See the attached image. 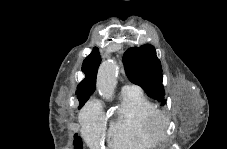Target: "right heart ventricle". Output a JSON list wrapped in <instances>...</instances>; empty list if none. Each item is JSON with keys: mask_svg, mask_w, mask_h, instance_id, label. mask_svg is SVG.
<instances>
[{"mask_svg": "<svg viewBox=\"0 0 227 149\" xmlns=\"http://www.w3.org/2000/svg\"><path fill=\"white\" fill-rule=\"evenodd\" d=\"M156 110L138 89L123 90L120 103L109 120L110 143L120 149H152L158 142L149 126V116Z\"/></svg>", "mask_w": 227, "mask_h": 149, "instance_id": "e07e8e85", "label": "right heart ventricle"}]
</instances>
